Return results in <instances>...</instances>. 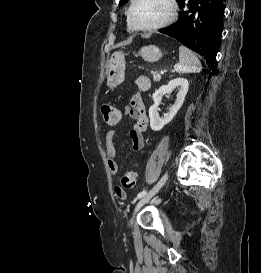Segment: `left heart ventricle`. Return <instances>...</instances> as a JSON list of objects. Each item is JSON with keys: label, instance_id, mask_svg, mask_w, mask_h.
I'll list each match as a JSON object with an SVG mask.
<instances>
[{"label": "left heart ventricle", "instance_id": "b2bd125f", "mask_svg": "<svg viewBox=\"0 0 261 273\" xmlns=\"http://www.w3.org/2000/svg\"><path fill=\"white\" fill-rule=\"evenodd\" d=\"M169 13L166 0H138L132 11V20L138 27H146L163 21Z\"/></svg>", "mask_w": 261, "mask_h": 273}]
</instances>
